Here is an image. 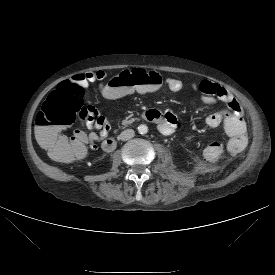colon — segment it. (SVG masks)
I'll list each match as a JSON object with an SVG mask.
<instances>
[{
  "label": "colon",
  "mask_w": 275,
  "mask_h": 275,
  "mask_svg": "<svg viewBox=\"0 0 275 275\" xmlns=\"http://www.w3.org/2000/svg\"><path fill=\"white\" fill-rule=\"evenodd\" d=\"M161 75L156 71L136 70L105 80L100 87L108 99L120 96L130 100L138 96H151L163 89ZM84 87L68 80L58 84L44 102L36 116L37 138L53 159L63 160L74 154L79 141L65 136L62 131L77 120L84 123L94 108L84 105Z\"/></svg>",
  "instance_id": "1"
}]
</instances>
